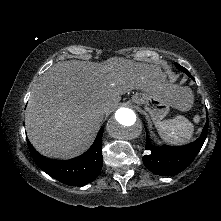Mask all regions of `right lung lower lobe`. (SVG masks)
<instances>
[{
	"label": "right lung lower lobe",
	"instance_id": "98d812e1",
	"mask_svg": "<svg viewBox=\"0 0 221 221\" xmlns=\"http://www.w3.org/2000/svg\"><path fill=\"white\" fill-rule=\"evenodd\" d=\"M100 129L93 145L83 155L70 160H51L40 155L27 140L36 164L48 175L68 185L81 186L92 182L99 175L102 164V136Z\"/></svg>",
	"mask_w": 221,
	"mask_h": 221
}]
</instances>
